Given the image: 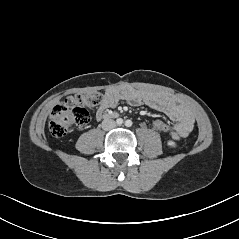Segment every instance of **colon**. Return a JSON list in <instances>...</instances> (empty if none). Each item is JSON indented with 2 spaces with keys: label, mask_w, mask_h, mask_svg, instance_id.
I'll use <instances>...</instances> for the list:
<instances>
[{
  "label": "colon",
  "mask_w": 239,
  "mask_h": 239,
  "mask_svg": "<svg viewBox=\"0 0 239 239\" xmlns=\"http://www.w3.org/2000/svg\"><path fill=\"white\" fill-rule=\"evenodd\" d=\"M103 96L92 91L69 96L57 104L50 116L49 131L55 137L65 136L73 127H83L90 119V110L99 106ZM148 125L160 135L166 134L171 127L170 121L163 116H150Z\"/></svg>",
  "instance_id": "colon-1"
}]
</instances>
